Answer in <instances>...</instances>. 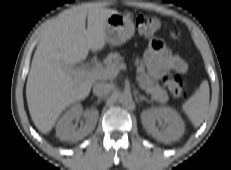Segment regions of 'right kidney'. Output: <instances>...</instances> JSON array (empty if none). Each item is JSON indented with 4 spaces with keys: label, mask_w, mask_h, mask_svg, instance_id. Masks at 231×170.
<instances>
[{
    "label": "right kidney",
    "mask_w": 231,
    "mask_h": 170,
    "mask_svg": "<svg viewBox=\"0 0 231 170\" xmlns=\"http://www.w3.org/2000/svg\"><path fill=\"white\" fill-rule=\"evenodd\" d=\"M81 115L84 116L86 122L79 129H76L72 122ZM98 115L99 112L96 109L83 111L80 104H75L58 121L56 136L61 141L76 142L81 140L95 129Z\"/></svg>",
    "instance_id": "1"
}]
</instances>
